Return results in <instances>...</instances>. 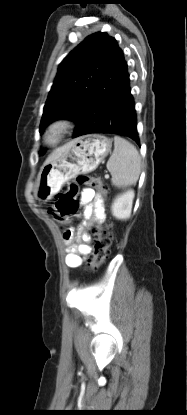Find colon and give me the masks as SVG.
I'll return each instance as SVG.
<instances>
[{
    "label": "colon",
    "instance_id": "colon-1",
    "mask_svg": "<svg viewBox=\"0 0 187 415\" xmlns=\"http://www.w3.org/2000/svg\"><path fill=\"white\" fill-rule=\"evenodd\" d=\"M79 185L93 188L101 193L105 192V186L100 177L87 175L79 176L76 184H70L57 197L54 216L61 224L67 223V221L76 214L79 208V202L76 199ZM111 242L112 232L110 226L106 229L95 230L93 253L90 261V267L92 269H97L104 264L108 257Z\"/></svg>",
    "mask_w": 187,
    "mask_h": 415
}]
</instances>
